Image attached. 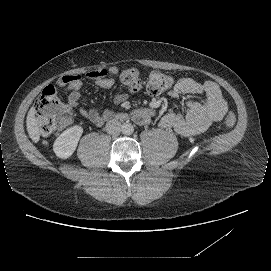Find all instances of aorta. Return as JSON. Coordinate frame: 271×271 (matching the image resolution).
<instances>
[{
	"label": "aorta",
	"mask_w": 271,
	"mask_h": 271,
	"mask_svg": "<svg viewBox=\"0 0 271 271\" xmlns=\"http://www.w3.org/2000/svg\"><path fill=\"white\" fill-rule=\"evenodd\" d=\"M122 132L126 135H130L134 132V127L131 124H124L122 126Z\"/></svg>",
	"instance_id": "1"
}]
</instances>
